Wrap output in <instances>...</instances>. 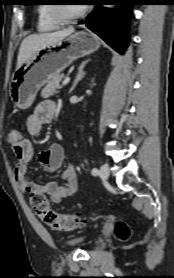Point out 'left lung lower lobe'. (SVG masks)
<instances>
[{
  "mask_svg": "<svg viewBox=\"0 0 174 278\" xmlns=\"http://www.w3.org/2000/svg\"><path fill=\"white\" fill-rule=\"evenodd\" d=\"M104 4L120 5V8L110 10ZM94 10L87 16L86 26L100 36L107 44L120 53H124L129 43L128 16H132L133 0H98Z\"/></svg>",
  "mask_w": 174,
  "mask_h": 278,
  "instance_id": "0a47b994",
  "label": "left lung lower lobe"
}]
</instances>
